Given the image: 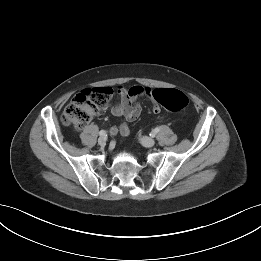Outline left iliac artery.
<instances>
[{"instance_id": "1", "label": "left iliac artery", "mask_w": 261, "mask_h": 261, "mask_svg": "<svg viewBox=\"0 0 261 261\" xmlns=\"http://www.w3.org/2000/svg\"><path fill=\"white\" fill-rule=\"evenodd\" d=\"M160 131L159 127H156L153 131H152V136H154L155 134H157Z\"/></svg>"}]
</instances>
